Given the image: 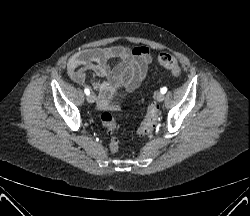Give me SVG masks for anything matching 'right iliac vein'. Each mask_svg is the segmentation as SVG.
<instances>
[{
    "mask_svg": "<svg viewBox=\"0 0 250 216\" xmlns=\"http://www.w3.org/2000/svg\"><path fill=\"white\" fill-rule=\"evenodd\" d=\"M87 101H88L89 103H94V101H95L94 95L89 94V95L87 96Z\"/></svg>",
    "mask_w": 250,
    "mask_h": 216,
    "instance_id": "1",
    "label": "right iliac vein"
}]
</instances>
